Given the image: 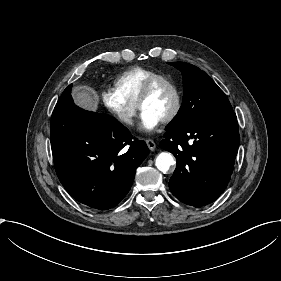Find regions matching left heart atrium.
Instances as JSON below:
<instances>
[{
  "label": "left heart atrium",
  "mask_w": 281,
  "mask_h": 281,
  "mask_svg": "<svg viewBox=\"0 0 281 281\" xmlns=\"http://www.w3.org/2000/svg\"><path fill=\"white\" fill-rule=\"evenodd\" d=\"M141 121H142V127L147 130L151 131L155 129L160 121L155 118L154 116L150 115L148 112L141 110Z\"/></svg>",
  "instance_id": "left-heart-atrium-1"
}]
</instances>
